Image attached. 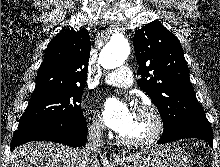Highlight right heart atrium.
<instances>
[{"mask_svg":"<svg viewBox=\"0 0 220 167\" xmlns=\"http://www.w3.org/2000/svg\"><path fill=\"white\" fill-rule=\"evenodd\" d=\"M103 128L102 121L97 116H93L88 124L89 133L92 135H100L103 132Z\"/></svg>","mask_w":220,"mask_h":167,"instance_id":"1","label":"right heart atrium"}]
</instances>
